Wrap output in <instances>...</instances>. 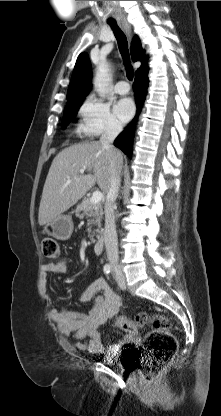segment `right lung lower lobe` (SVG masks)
Here are the masks:
<instances>
[{"label": "right lung lower lobe", "instance_id": "1", "mask_svg": "<svg viewBox=\"0 0 221 416\" xmlns=\"http://www.w3.org/2000/svg\"><path fill=\"white\" fill-rule=\"evenodd\" d=\"M148 82H149L148 70L140 72L135 75V82L133 84V89L135 92L137 113H140L142 106H143V102L146 98ZM137 116L138 114L135 116L132 122L126 127V129L114 141L115 146L120 148L129 157H131V154H132L134 129H135V122L137 120Z\"/></svg>", "mask_w": 221, "mask_h": 416}]
</instances>
